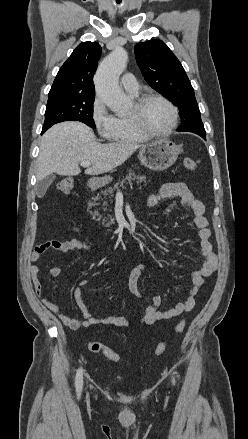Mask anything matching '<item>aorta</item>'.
Here are the masks:
<instances>
[{
	"label": "aorta",
	"mask_w": 248,
	"mask_h": 439,
	"mask_svg": "<svg viewBox=\"0 0 248 439\" xmlns=\"http://www.w3.org/2000/svg\"><path fill=\"white\" fill-rule=\"evenodd\" d=\"M128 54L122 47L115 48L99 65L94 76L97 96L115 113L121 114L131 105L119 87V77L127 66Z\"/></svg>",
	"instance_id": "1"
}]
</instances>
